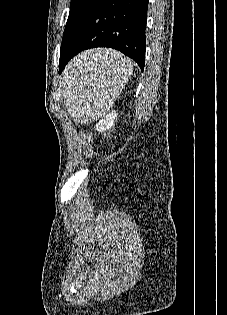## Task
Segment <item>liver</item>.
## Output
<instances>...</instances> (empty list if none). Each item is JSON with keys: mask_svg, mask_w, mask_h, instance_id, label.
<instances>
[{"mask_svg": "<svg viewBox=\"0 0 227 315\" xmlns=\"http://www.w3.org/2000/svg\"><path fill=\"white\" fill-rule=\"evenodd\" d=\"M101 50H103V49H95V51H101ZM110 50V49H109Z\"/></svg>", "mask_w": 227, "mask_h": 315, "instance_id": "obj_1", "label": "liver"}]
</instances>
